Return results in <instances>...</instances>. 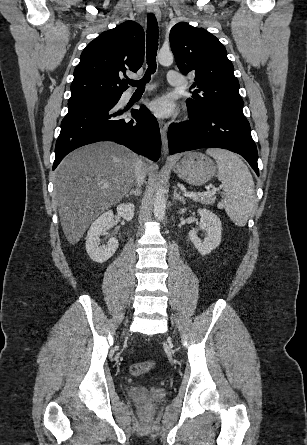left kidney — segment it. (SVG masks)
<instances>
[{"mask_svg":"<svg viewBox=\"0 0 307 445\" xmlns=\"http://www.w3.org/2000/svg\"><path fill=\"white\" fill-rule=\"evenodd\" d=\"M179 212L183 214V212H186V208H180ZM198 214L201 216L199 227L190 231L189 237L198 253L205 257V255H209L213 249L218 247L221 241L222 225L219 216L211 212V210H207V208H198ZM198 231H206L204 241L199 239Z\"/></svg>","mask_w":307,"mask_h":445,"instance_id":"left-kidney-1","label":"left kidney"}]
</instances>
